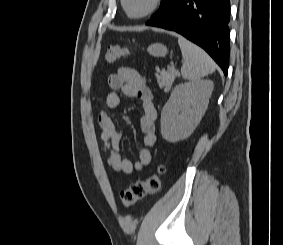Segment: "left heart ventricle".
<instances>
[{
    "label": "left heart ventricle",
    "mask_w": 283,
    "mask_h": 245,
    "mask_svg": "<svg viewBox=\"0 0 283 245\" xmlns=\"http://www.w3.org/2000/svg\"><path fill=\"white\" fill-rule=\"evenodd\" d=\"M153 0H126V6L133 15L141 14L152 4Z\"/></svg>",
    "instance_id": "1"
}]
</instances>
